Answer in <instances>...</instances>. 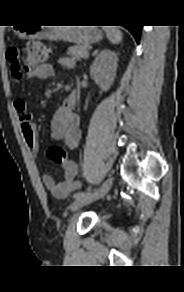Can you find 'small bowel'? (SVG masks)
<instances>
[{"label":"small bowel","mask_w":184,"mask_h":292,"mask_svg":"<svg viewBox=\"0 0 184 292\" xmlns=\"http://www.w3.org/2000/svg\"><path fill=\"white\" fill-rule=\"evenodd\" d=\"M59 63L64 67L72 66L71 59L62 58ZM54 75V67L52 64L43 63L32 70L31 77L34 79H48ZM76 96L70 94L64 105H62L54 113L52 118V137L54 140L63 142L67 148L73 150L76 149L81 132L79 129V118L73 112ZM14 109L19 118L20 127L24 136L25 143L30 153L35 156L38 152V134L36 126L33 122L32 115L28 112L27 106L24 100L17 99L14 101ZM64 168V180L60 183H56L54 179L44 174L42 176V182L44 186L56 197H64L67 194L75 191L80 186L78 179V166L74 161L69 160L62 165Z\"/></svg>","instance_id":"obj_1"}]
</instances>
